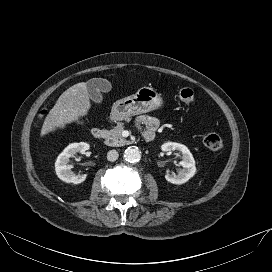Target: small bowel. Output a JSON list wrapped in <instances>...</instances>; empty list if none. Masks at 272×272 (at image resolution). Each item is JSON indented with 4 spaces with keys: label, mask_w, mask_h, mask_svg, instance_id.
Masks as SVG:
<instances>
[{
    "label": "small bowel",
    "mask_w": 272,
    "mask_h": 272,
    "mask_svg": "<svg viewBox=\"0 0 272 272\" xmlns=\"http://www.w3.org/2000/svg\"><path fill=\"white\" fill-rule=\"evenodd\" d=\"M159 126V122L156 118L151 116H143L140 119V128L143 136L145 137L148 133L156 131Z\"/></svg>",
    "instance_id": "obj_1"
}]
</instances>
